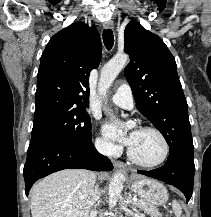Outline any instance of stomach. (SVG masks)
I'll use <instances>...</instances> for the list:
<instances>
[{
	"label": "stomach",
	"instance_id": "stomach-1",
	"mask_svg": "<svg viewBox=\"0 0 211 217\" xmlns=\"http://www.w3.org/2000/svg\"><path fill=\"white\" fill-rule=\"evenodd\" d=\"M130 184L135 194L154 205H163L168 201L167 189L158 180L133 174Z\"/></svg>",
	"mask_w": 211,
	"mask_h": 217
}]
</instances>
